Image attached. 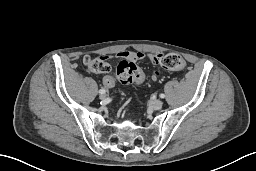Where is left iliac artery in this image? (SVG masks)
<instances>
[{"mask_svg":"<svg viewBox=\"0 0 256 171\" xmlns=\"http://www.w3.org/2000/svg\"><path fill=\"white\" fill-rule=\"evenodd\" d=\"M160 97H161V98H165V94H163V93L160 94Z\"/></svg>","mask_w":256,"mask_h":171,"instance_id":"44dca946","label":"left iliac artery"}]
</instances>
